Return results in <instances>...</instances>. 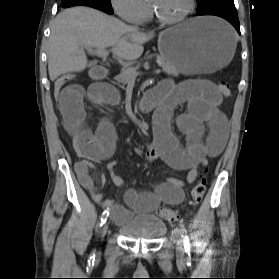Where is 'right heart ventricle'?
<instances>
[{"instance_id": "1", "label": "right heart ventricle", "mask_w": 279, "mask_h": 279, "mask_svg": "<svg viewBox=\"0 0 279 279\" xmlns=\"http://www.w3.org/2000/svg\"><path fill=\"white\" fill-rule=\"evenodd\" d=\"M150 17V14H148V16L146 17V19H148Z\"/></svg>"}]
</instances>
